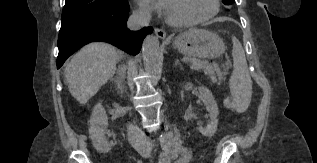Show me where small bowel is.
Returning <instances> with one entry per match:
<instances>
[{"mask_svg":"<svg viewBox=\"0 0 317 163\" xmlns=\"http://www.w3.org/2000/svg\"><path fill=\"white\" fill-rule=\"evenodd\" d=\"M179 154L180 156L174 161V163H188L192 158V149L187 147H176L170 152L163 153L160 157L159 163H171V159Z\"/></svg>","mask_w":317,"mask_h":163,"instance_id":"c3829d8e","label":"small bowel"}]
</instances>
